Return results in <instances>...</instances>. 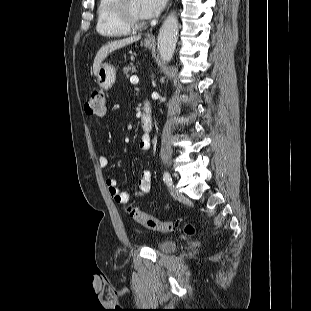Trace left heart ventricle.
I'll use <instances>...</instances> for the list:
<instances>
[{
	"label": "left heart ventricle",
	"mask_w": 311,
	"mask_h": 311,
	"mask_svg": "<svg viewBox=\"0 0 311 311\" xmlns=\"http://www.w3.org/2000/svg\"><path fill=\"white\" fill-rule=\"evenodd\" d=\"M128 7L132 17L139 21H144L145 19L141 16L139 10V0H128Z\"/></svg>",
	"instance_id": "b2bd125f"
}]
</instances>
